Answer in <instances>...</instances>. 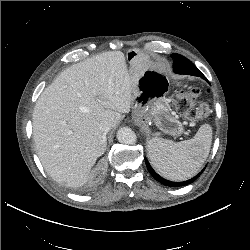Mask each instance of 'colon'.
<instances>
[{
	"label": "colon",
	"mask_w": 250,
	"mask_h": 250,
	"mask_svg": "<svg viewBox=\"0 0 250 250\" xmlns=\"http://www.w3.org/2000/svg\"><path fill=\"white\" fill-rule=\"evenodd\" d=\"M199 96L200 91L196 89L180 91L174 96L173 102L184 117L191 121H197L209 114L208 104L200 102Z\"/></svg>",
	"instance_id": "obj_1"
}]
</instances>
